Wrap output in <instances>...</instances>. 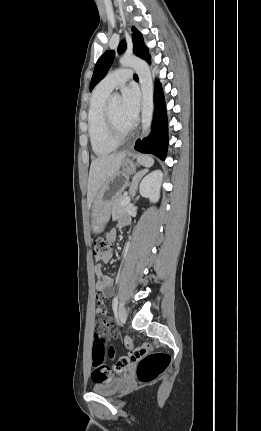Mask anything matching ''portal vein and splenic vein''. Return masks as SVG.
Masks as SVG:
<instances>
[{
	"label": "portal vein and splenic vein",
	"mask_w": 261,
	"mask_h": 431,
	"mask_svg": "<svg viewBox=\"0 0 261 431\" xmlns=\"http://www.w3.org/2000/svg\"><path fill=\"white\" fill-rule=\"evenodd\" d=\"M130 202V197H125L124 200L121 202V205L124 206Z\"/></svg>",
	"instance_id": "18ae733b"
}]
</instances>
